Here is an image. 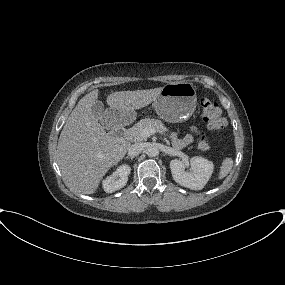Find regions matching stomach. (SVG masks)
<instances>
[{"label":"stomach","instance_id":"1","mask_svg":"<svg viewBox=\"0 0 285 285\" xmlns=\"http://www.w3.org/2000/svg\"><path fill=\"white\" fill-rule=\"evenodd\" d=\"M196 88L190 82H172L162 87L158 97L154 100L152 108L157 115L171 123L187 120L196 108ZM117 116L125 112L114 110Z\"/></svg>","mask_w":285,"mask_h":285}]
</instances>
